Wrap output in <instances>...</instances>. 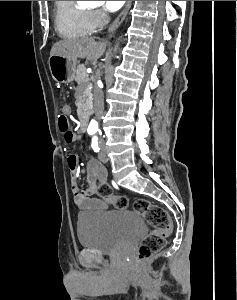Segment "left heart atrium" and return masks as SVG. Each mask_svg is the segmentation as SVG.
I'll return each instance as SVG.
<instances>
[{
	"instance_id": "left-heart-atrium-1",
	"label": "left heart atrium",
	"mask_w": 237,
	"mask_h": 300,
	"mask_svg": "<svg viewBox=\"0 0 237 300\" xmlns=\"http://www.w3.org/2000/svg\"><path fill=\"white\" fill-rule=\"evenodd\" d=\"M124 3L125 1H105L104 9L108 12H116L124 5Z\"/></svg>"
}]
</instances>
